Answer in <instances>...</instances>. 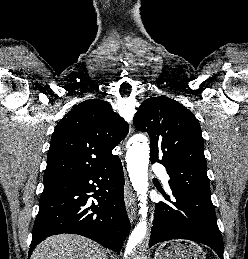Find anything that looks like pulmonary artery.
<instances>
[{"label": "pulmonary artery", "mask_w": 248, "mask_h": 259, "mask_svg": "<svg viewBox=\"0 0 248 259\" xmlns=\"http://www.w3.org/2000/svg\"><path fill=\"white\" fill-rule=\"evenodd\" d=\"M152 169L154 172L159 173L161 175L163 182L167 185L169 176L166 174L164 167L160 164H154Z\"/></svg>", "instance_id": "e3ab8cb5"}]
</instances>
